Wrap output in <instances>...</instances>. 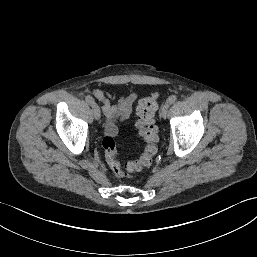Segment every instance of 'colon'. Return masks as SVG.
<instances>
[{"label": "colon", "instance_id": "colon-1", "mask_svg": "<svg viewBox=\"0 0 257 257\" xmlns=\"http://www.w3.org/2000/svg\"><path fill=\"white\" fill-rule=\"evenodd\" d=\"M158 106V99L156 95H151L142 99L137 107V127L144 140V150L141 156L137 159L128 161L125 164L127 172L140 171L149 167L158 152L157 141L158 134L155 126L154 116ZM102 147L106 162L114 175L117 178L125 177L126 173L123 170L118 159L116 144L111 136L104 137Z\"/></svg>", "mask_w": 257, "mask_h": 257}]
</instances>
